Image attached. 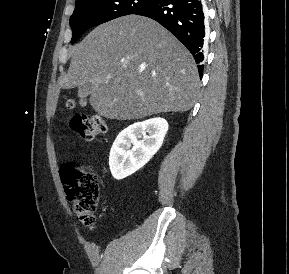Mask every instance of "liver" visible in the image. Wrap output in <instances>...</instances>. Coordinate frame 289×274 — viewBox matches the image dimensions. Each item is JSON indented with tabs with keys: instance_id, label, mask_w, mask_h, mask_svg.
Segmentation results:
<instances>
[{
	"instance_id": "liver-1",
	"label": "liver",
	"mask_w": 289,
	"mask_h": 274,
	"mask_svg": "<svg viewBox=\"0 0 289 274\" xmlns=\"http://www.w3.org/2000/svg\"><path fill=\"white\" fill-rule=\"evenodd\" d=\"M64 89L90 83V105L111 120L186 112L200 79L190 52L155 21L128 15L99 25L70 50Z\"/></svg>"
}]
</instances>
